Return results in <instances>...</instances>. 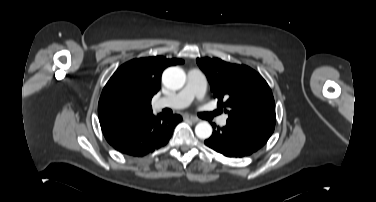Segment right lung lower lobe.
Masks as SVG:
<instances>
[{"label": "right lung lower lobe", "mask_w": 376, "mask_h": 202, "mask_svg": "<svg viewBox=\"0 0 376 202\" xmlns=\"http://www.w3.org/2000/svg\"><path fill=\"white\" fill-rule=\"evenodd\" d=\"M181 120L180 115L151 114L104 136L116 150L141 157L166 145Z\"/></svg>", "instance_id": "98d812e1"}]
</instances>
